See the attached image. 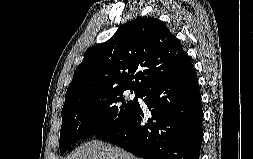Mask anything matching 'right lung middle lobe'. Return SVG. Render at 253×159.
Wrapping results in <instances>:
<instances>
[{
	"label": "right lung middle lobe",
	"mask_w": 253,
	"mask_h": 159,
	"mask_svg": "<svg viewBox=\"0 0 253 159\" xmlns=\"http://www.w3.org/2000/svg\"><path fill=\"white\" fill-rule=\"evenodd\" d=\"M125 90L101 92L72 100L62 109L60 152L63 154L79 139L114 128L125 121L138 107L135 92L133 101L124 95Z\"/></svg>",
	"instance_id": "dd1d6c3e"
}]
</instances>
